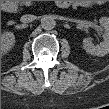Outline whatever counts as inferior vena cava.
<instances>
[{
  "mask_svg": "<svg viewBox=\"0 0 109 109\" xmlns=\"http://www.w3.org/2000/svg\"><path fill=\"white\" fill-rule=\"evenodd\" d=\"M35 19L36 17L34 15L26 14V15H23L20 20L24 23H30L34 21Z\"/></svg>",
  "mask_w": 109,
  "mask_h": 109,
  "instance_id": "602c4592",
  "label": "inferior vena cava"
}]
</instances>
